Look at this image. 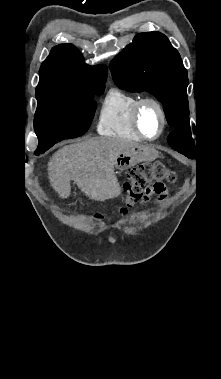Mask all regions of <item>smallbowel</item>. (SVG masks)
Masks as SVG:
<instances>
[{
    "label": "small bowel",
    "mask_w": 221,
    "mask_h": 379,
    "mask_svg": "<svg viewBox=\"0 0 221 379\" xmlns=\"http://www.w3.org/2000/svg\"><path fill=\"white\" fill-rule=\"evenodd\" d=\"M158 195H159L160 199H163V198L165 197V194H164V193H162V194H158ZM149 196H150V195L146 196V197L143 199V202L148 201V200H149Z\"/></svg>",
    "instance_id": "small-bowel-1"
}]
</instances>
